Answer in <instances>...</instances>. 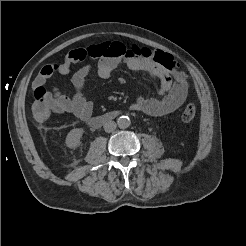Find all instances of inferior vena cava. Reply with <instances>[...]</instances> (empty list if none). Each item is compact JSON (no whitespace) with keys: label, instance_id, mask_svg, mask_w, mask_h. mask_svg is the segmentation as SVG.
Instances as JSON below:
<instances>
[{"label":"inferior vena cava","instance_id":"obj_1","mask_svg":"<svg viewBox=\"0 0 246 246\" xmlns=\"http://www.w3.org/2000/svg\"><path fill=\"white\" fill-rule=\"evenodd\" d=\"M117 127V124L114 121H107L104 124V130L108 133L113 132Z\"/></svg>","mask_w":246,"mask_h":246}]
</instances>
